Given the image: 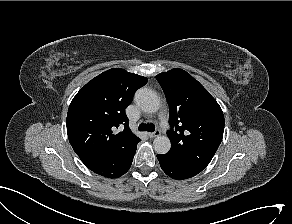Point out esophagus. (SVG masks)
I'll use <instances>...</instances> for the list:
<instances>
[{"label":"esophagus","instance_id":"1","mask_svg":"<svg viewBox=\"0 0 292 224\" xmlns=\"http://www.w3.org/2000/svg\"><path fill=\"white\" fill-rule=\"evenodd\" d=\"M159 135H160V131L159 130H156L155 132L148 133V136L150 138H155V137H157Z\"/></svg>","mask_w":292,"mask_h":224}]
</instances>
